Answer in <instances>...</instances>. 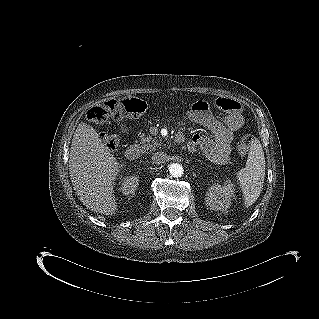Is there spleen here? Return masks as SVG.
Instances as JSON below:
<instances>
[{"label": "spleen", "instance_id": "spleen-1", "mask_svg": "<svg viewBox=\"0 0 319 319\" xmlns=\"http://www.w3.org/2000/svg\"><path fill=\"white\" fill-rule=\"evenodd\" d=\"M237 178L245 204L252 205L260 196L265 179V157L259 140L252 141L246 166L238 172Z\"/></svg>", "mask_w": 319, "mask_h": 319}]
</instances>
